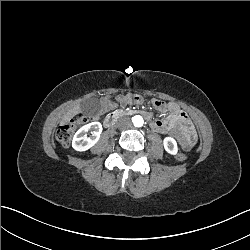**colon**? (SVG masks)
Listing matches in <instances>:
<instances>
[{"mask_svg":"<svg viewBox=\"0 0 250 250\" xmlns=\"http://www.w3.org/2000/svg\"><path fill=\"white\" fill-rule=\"evenodd\" d=\"M129 98H132V103H141L143 97L137 93H129ZM156 105H167V100H156ZM97 105L90 104L87 107V113L80 115L76 119H69L60 125L56 131V139L63 145L68 146L71 143L73 133L80 125H85L93 120L92 112L96 111ZM175 158L179 161L188 162L189 156L185 153L175 154Z\"/></svg>","mask_w":250,"mask_h":250,"instance_id":"obj_1","label":"colon"}]
</instances>
